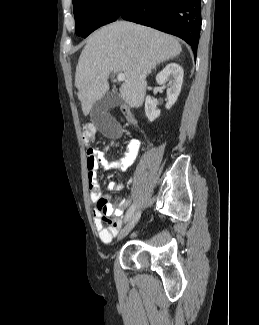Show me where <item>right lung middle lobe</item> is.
Listing matches in <instances>:
<instances>
[{"instance_id": "1", "label": "right lung middle lobe", "mask_w": 259, "mask_h": 325, "mask_svg": "<svg viewBox=\"0 0 259 325\" xmlns=\"http://www.w3.org/2000/svg\"><path fill=\"white\" fill-rule=\"evenodd\" d=\"M126 0H73L75 33L87 37L97 28L118 19Z\"/></svg>"}]
</instances>
